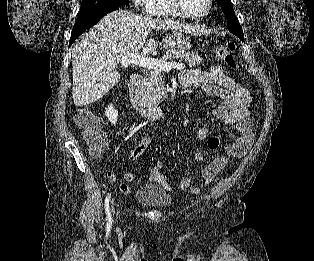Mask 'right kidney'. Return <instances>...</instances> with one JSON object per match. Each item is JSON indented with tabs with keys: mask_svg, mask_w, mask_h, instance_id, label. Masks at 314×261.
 Wrapping results in <instances>:
<instances>
[{
	"mask_svg": "<svg viewBox=\"0 0 314 261\" xmlns=\"http://www.w3.org/2000/svg\"><path fill=\"white\" fill-rule=\"evenodd\" d=\"M105 116L112 124H116L118 118V111L113 107L112 104L106 108Z\"/></svg>",
	"mask_w": 314,
	"mask_h": 261,
	"instance_id": "1",
	"label": "right kidney"
}]
</instances>
